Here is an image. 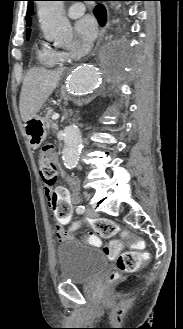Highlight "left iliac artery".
<instances>
[{"label": "left iliac artery", "mask_w": 183, "mask_h": 329, "mask_svg": "<svg viewBox=\"0 0 183 329\" xmlns=\"http://www.w3.org/2000/svg\"><path fill=\"white\" fill-rule=\"evenodd\" d=\"M84 211H85V207L82 206V205H79V206L76 208V212H77L78 214H83Z\"/></svg>", "instance_id": "left-iliac-artery-1"}]
</instances>
